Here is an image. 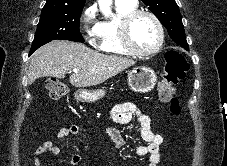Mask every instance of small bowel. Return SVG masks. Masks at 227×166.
Returning <instances> with one entry per match:
<instances>
[{
  "instance_id": "1",
  "label": "small bowel",
  "mask_w": 227,
  "mask_h": 166,
  "mask_svg": "<svg viewBox=\"0 0 227 166\" xmlns=\"http://www.w3.org/2000/svg\"><path fill=\"white\" fill-rule=\"evenodd\" d=\"M135 116L140 124V138L145 145L138 146L135 149V153L138 156H148V166H158L160 163V147L163 143V137L154 133L152 127V120L149 115L142 112L133 103H121L116 104L109 113V120L116 123H128ZM85 130L77 125H70L62 127L57 134L58 138H65L68 136H76L84 133ZM106 134L111 138L115 148H121L124 146V140L120 133L111 127L105 129ZM60 148L55 144L54 140H45L33 153V165H42V156L45 154L58 155ZM111 155L107 156L109 160ZM81 156L74 154L68 164L70 166H76L81 162Z\"/></svg>"
}]
</instances>
